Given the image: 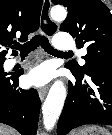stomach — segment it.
<instances>
[{"label": "stomach", "instance_id": "0dacf381", "mask_svg": "<svg viewBox=\"0 0 112 135\" xmlns=\"http://www.w3.org/2000/svg\"><path fill=\"white\" fill-rule=\"evenodd\" d=\"M73 135H110V133L100 126H88L73 133Z\"/></svg>", "mask_w": 112, "mask_h": 135}]
</instances>
